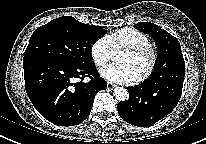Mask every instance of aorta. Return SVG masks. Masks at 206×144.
<instances>
[{"mask_svg": "<svg viewBox=\"0 0 206 144\" xmlns=\"http://www.w3.org/2000/svg\"><path fill=\"white\" fill-rule=\"evenodd\" d=\"M113 95L118 101H125L129 98V93L127 89L123 87L115 88Z\"/></svg>", "mask_w": 206, "mask_h": 144, "instance_id": "obj_1", "label": "aorta"}]
</instances>
